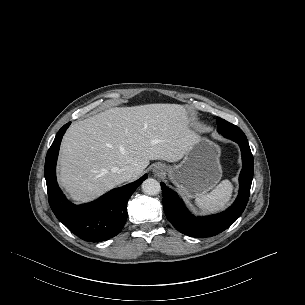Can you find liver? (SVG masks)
<instances>
[{
	"label": "liver",
	"instance_id": "obj_1",
	"mask_svg": "<svg viewBox=\"0 0 305 305\" xmlns=\"http://www.w3.org/2000/svg\"><path fill=\"white\" fill-rule=\"evenodd\" d=\"M197 138L182 105L110 108L67 130L59 183L73 200L87 202L121 184L122 167H133L136 180L150 160H181Z\"/></svg>",
	"mask_w": 305,
	"mask_h": 305
}]
</instances>
